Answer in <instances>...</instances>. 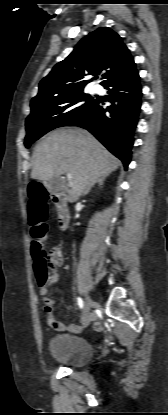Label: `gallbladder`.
<instances>
[{"mask_svg": "<svg viewBox=\"0 0 168 415\" xmlns=\"http://www.w3.org/2000/svg\"><path fill=\"white\" fill-rule=\"evenodd\" d=\"M45 185L50 192H59L64 189V181L61 177H53L45 181Z\"/></svg>", "mask_w": 168, "mask_h": 415, "instance_id": "gallbladder-1", "label": "gallbladder"}]
</instances>
